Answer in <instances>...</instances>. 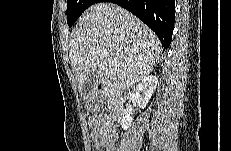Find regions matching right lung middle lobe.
I'll list each match as a JSON object with an SVG mask.
<instances>
[{
  "label": "right lung middle lobe",
  "mask_w": 231,
  "mask_h": 151,
  "mask_svg": "<svg viewBox=\"0 0 231 151\" xmlns=\"http://www.w3.org/2000/svg\"><path fill=\"white\" fill-rule=\"evenodd\" d=\"M99 0H67V23L71 27L80 15Z\"/></svg>",
  "instance_id": "1"
}]
</instances>
